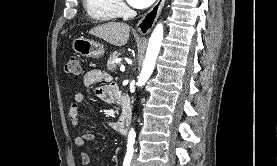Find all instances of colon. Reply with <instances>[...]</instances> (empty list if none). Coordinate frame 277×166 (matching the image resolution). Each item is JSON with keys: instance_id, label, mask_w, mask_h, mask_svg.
Wrapping results in <instances>:
<instances>
[{"instance_id": "colon-1", "label": "colon", "mask_w": 277, "mask_h": 166, "mask_svg": "<svg viewBox=\"0 0 277 166\" xmlns=\"http://www.w3.org/2000/svg\"><path fill=\"white\" fill-rule=\"evenodd\" d=\"M64 70L68 74L80 75L82 73L80 57L78 55H71L65 63Z\"/></svg>"}]
</instances>
